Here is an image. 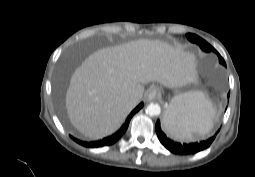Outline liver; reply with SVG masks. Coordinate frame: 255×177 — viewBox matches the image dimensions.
Returning a JSON list of instances; mask_svg holds the SVG:
<instances>
[{
    "mask_svg": "<svg viewBox=\"0 0 255 177\" xmlns=\"http://www.w3.org/2000/svg\"><path fill=\"white\" fill-rule=\"evenodd\" d=\"M196 66L181 46L140 39L100 49L73 73L66 93L71 123L97 140L120 128L141 101L144 84L177 88L195 82ZM135 97L136 105L129 103Z\"/></svg>",
    "mask_w": 255,
    "mask_h": 177,
    "instance_id": "6515ba94",
    "label": "liver"
}]
</instances>
